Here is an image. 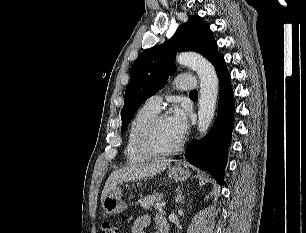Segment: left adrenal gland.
Returning <instances> with one entry per match:
<instances>
[{
    "mask_svg": "<svg viewBox=\"0 0 306 233\" xmlns=\"http://www.w3.org/2000/svg\"><path fill=\"white\" fill-rule=\"evenodd\" d=\"M183 200H184V196H182V191L179 190V191H178V194H177L176 202H177V203H180V202H182Z\"/></svg>",
    "mask_w": 306,
    "mask_h": 233,
    "instance_id": "1",
    "label": "left adrenal gland"
}]
</instances>
